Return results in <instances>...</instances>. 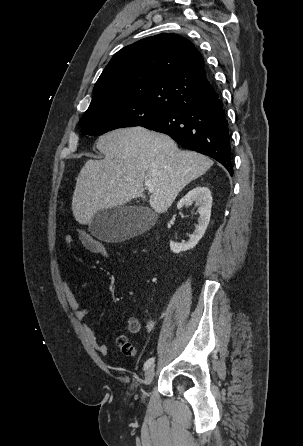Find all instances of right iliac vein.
Segmentation results:
<instances>
[{
  "label": "right iliac vein",
  "mask_w": 303,
  "mask_h": 446,
  "mask_svg": "<svg viewBox=\"0 0 303 446\" xmlns=\"http://www.w3.org/2000/svg\"><path fill=\"white\" fill-rule=\"evenodd\" d=\"M155 376V368L154 365L147 368L144 377V384L149 385Z\"/></svg>",
  "instance_id": "right-iliac-vein-1"
}]
</instances>
